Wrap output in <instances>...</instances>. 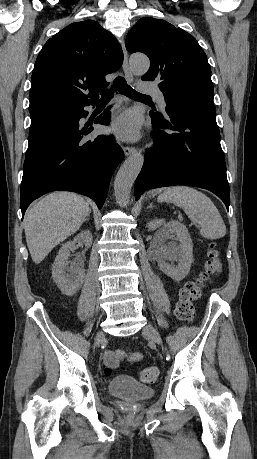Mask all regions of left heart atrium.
<instances>
[{
	"mask_svg": "<svg viewBox=\"0 0 257 459\" xmlns=\"http://www.w3.org/2000/svg\"><path fill=\"white\" fill-rule=\"evenodd\" d=\"M110 131L122 140H136L141 132V118L137 113L128 111L113 122Z\"/></svg>",
	"mask_w": 257,
	"mask_h": 459,
	"instance_id": "1",
	"label": "left heart atrium"
}]
</instances>
